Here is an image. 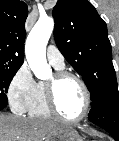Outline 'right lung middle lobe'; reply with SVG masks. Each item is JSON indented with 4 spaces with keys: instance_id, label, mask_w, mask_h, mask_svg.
Masks as SVG:
<instances>
[{
    "instance_id": "1",
    "label": "right lung middle lobe",
    "mask_w": 119,
    "mask_h": 141,
    "mask_svg": "<svg viewBox=\"0 0 119 141\" xmlns=\"http://www.w3.org/2000/svg\"><path fill=\"white\" fill-rule=\"evenodd\" d=\"M19 68L0 67V106L5 107L8 103L6 93L10 82Z\"/></svg>"
}]
</instances>
